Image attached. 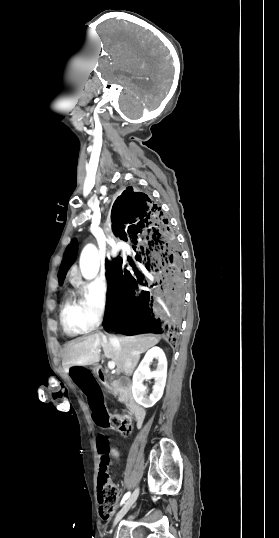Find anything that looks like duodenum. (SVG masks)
<instances>
[{
	"instance_id": "1",
	"label": "duodenum",
	"mask_w": 279,
	"mask_h": 538,
	"mask_svg": "<svg viewBox=\"0 0 279 538\" xmlns=\"http://www.w3.org/2000/svg\"><path fill=\"white\" fill-rule=\"evenodd\" d=\"M95 376L99 380L101 385L111 387L114 392L125 391L122 395L124 400L128 399L127 410L129 413H136L138 418L133 424L135 429L143 428V422H145L146 411L140 408L139 402L135 399V396L132 394V387L134 383L132 381L125 382V386H121V383L117 381H112V376L109 374L105 366L95 365Z\"/></svg>"
}]
</instances>
